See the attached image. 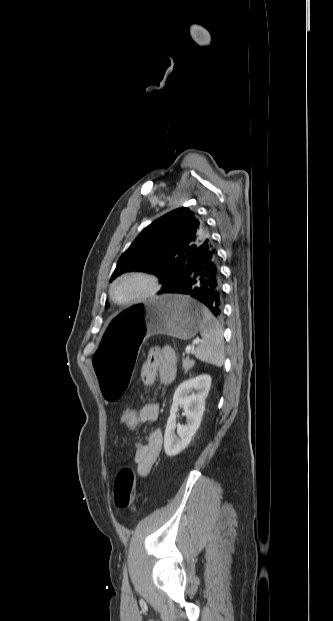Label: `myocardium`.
I'll use <instances>...</instances> for the list:
<instances>
[{
	"label": "myocardium",
	"instance_id": "f54148a6",
	"mask_svg": "<svg viewBox=\"0 0 333 621\" xmlns=\"http://www.w3.org/2000/svg\"><path fill=\"white\" fill-rule=\"evenodd\" d=\"M128 278H137V279H141L145 281L147 283V289L142 294H140L139 296L135 298L124 300V301L118 300L114 294V287L120 281L124 279H128ZM159 291H160V283L158 281V278L152 273H149L143 270H131V271L124 272L120 274L119 276H117L111 282L109 286L110 298L112 299L114 303L121 305V306H130V305H135V304L144 302L156 296Z\"/></svg>",
	"mask_w": 333,
	"mask_h": 621
}]
</instances>
